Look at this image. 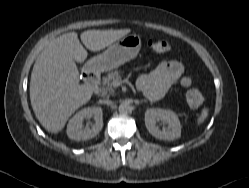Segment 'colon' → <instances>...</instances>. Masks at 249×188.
Here are the masks:
<instances>
[{"instance_id": "1", "label": "colon", "mask_w": 249, "mask_h": 188, "mask_svg": "<svg viewBox=\"0 0 249 188\" xmlns=\"http://www.w3.org/2000/svg\"><path fill=\"white\" fill-rule=\"evenodd\" d=\"M148 47L158 53L166 52L169 49V43L161 39H151L147 42ZM187 102L192 107H199L204 103V96L197 90L191 89L186 95Z\"/></svg>"}]
</instances>
